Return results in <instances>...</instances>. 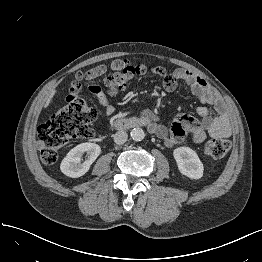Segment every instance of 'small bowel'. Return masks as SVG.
Instances as JSON below:
<instances>
[{
    "mask_svg": "<svg viewBox=\"0 0 262 262\" xmlns=\"http://www.w3.org/2000/svg\"><path fill=\"white\" fill-rule=\"evenodd\" d=\"M119 62H113L110 65H101L91 69L87 76L96 78L105 74L109 69H116ZM162 78L163 87L166 91L172 92L178 82H183L200 101L201 106L197 107L196 114L200 121L188 115L178 116L170 127L158 123V116L151 110H144L139 114L149 125V131L162 139L167 147H173L183 142L188 133H190L196 142H202L206 134L213 138H228L232 134L227 116V105L225 101L208 85L206 80L189 69H175L168 72L162 66H156L153 72ZM206 105H212L217 114L212 115ZM104 112L108 116L114 114L113 108L105 103Z\"/></svg>",
    "mask_w": 262,
    "mask_h": 262,
    "instance_id": "small-bowel-1",
    "label": "small bowel"
}]
</instances>
